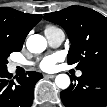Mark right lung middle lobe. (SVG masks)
I'll use <instances>...</instances> for the list:
<instances>
[{
    "label": "right lung middle lobe",
    "mask_w": 107,
    "mask_h": 107,
    "mask_svg": "<svg viewBox=\"0 0 107 107\" xmlns=\"http://www.w3.org/2000/svg\"><path fill=\"white\" fill-rule=\"evenodd\" d=\"M14 51L3 40H0V70L7 69V58Z\"/></svg>",
    "instance_id": "right-lung-middle-lobe-1"
}]
</instances>
